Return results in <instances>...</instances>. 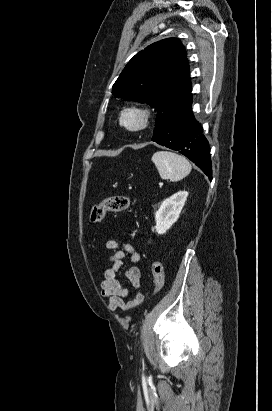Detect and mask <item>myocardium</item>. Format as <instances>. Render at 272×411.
<instances>
[{
  "mask_svg": "<svg viewBox=\"0 0 272 411\" xmlns=\"http://www.w3.org/2000/svg\"><path fill=\"white\" fill-rule=\"evenodd\" d=\"M135 122H130V118ZM152 122V112L143 106H130L120 114V124L130 132H141L146 130Z\"/></svg>",
  "mask_w": 272,
  "mask_h": 411,
  "instance_id": "1",
  "label": "myocardium"
}]
</instances>
